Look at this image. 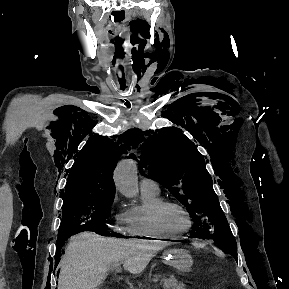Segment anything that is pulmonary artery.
I'll return each mask as SVG.
<instances>
[{
  "mask_svg": "<svg viewBox=\"0 0 289 289\" xmlns=\"http://www.w3.org/2000/svg\"><path fill=\"white\" fill-rule=\"evenodd\" d=\"M140 187H141V190L143 191H151V192L159 191L158 183L152 178H148V177H144L141 179Z\"/></svg>",
  "mask_w": 289,
  "mask_h": 289,
  "instance_id": "obj_1",
  "label": "pulmonary artery"
}]
</instances>
